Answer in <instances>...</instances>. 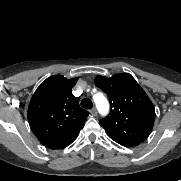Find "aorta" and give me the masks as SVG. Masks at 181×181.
I'll return each mask as SVG.
<instances>
[{
  "mask_svg": "<svg viewBox=\"0 0 181 181\" xmlns=\"http://www.w3.org/2000/svg\"><path fill=\"white\" fill-rule=\"evenodd\" d=\"M100 114L106 115L109 111V103L102 93H97L93 97Z\"/></svg>",
  "mask_w": 181,
  "mask_h": 181,
  "instance_id": "aorta-1",
  "label": "aorta"
}]
</instances>
